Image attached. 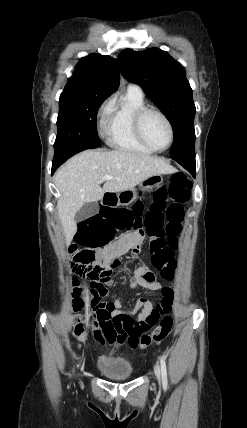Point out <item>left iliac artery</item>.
Instances as JSON below:
<instances>
[{
    "label": "left iliac artery",
    "mask_w": 247,
    "mask_h": 428,
    "mask_svg": "<svg viewBox=\"0 0 247 428\" xmlns=\"http://www.w3.org/2000/svg\"><path fill=\"white\" fill-rule=\"evenodd\" d=\"M160 365H161V373H162V385L163 389L167 390L168 380H167V368L166 362L163 356H160Z\"/></svg>",
    "instance_id": "44dca946"
}]
</instances>
